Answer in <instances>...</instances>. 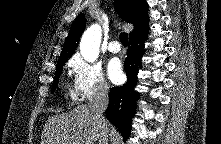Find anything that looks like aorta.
Instances as JSON below:
<instances>
[{"mask_svg":"<svg viewBox=\"0 0 221 144\" xmlns=\"http://www.w3.org/2000/svg\"><path fill=\"white\" fill-rule=\"evenodd\" d=\"M102 31L98 24H93L83 33L80 41V53L87 62H95L99 56Z\"/></svg>","mask_w":221,"mask_h":144,"instance_id":"aorta-1","label":"aorta"}]
</instances>
